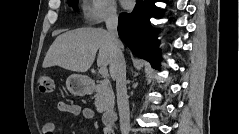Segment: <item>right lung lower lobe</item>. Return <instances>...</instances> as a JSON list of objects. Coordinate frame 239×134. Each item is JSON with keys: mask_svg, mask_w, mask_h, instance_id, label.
Listing matches in <instances>:
<instances>
[{"mask_svg": "<svg viewBox=\"0 0 239 134\" xmlns=\"http://www.w3.org/2000/svg\"><path fill=\"white\" fill-rule=\"evenodd\" d=\"M136 1L131 13L120 14L118 34L135 55L158 67L161 60L159 42L153 38L149 19L152 16L162 15L163 11L155 7L154 3L157 0Z\"/></svg>", "mask_w": 239, "mask_h": 134, "instance_id": "obj_1", "label": "right lung lower lobe"}]
</instances>
